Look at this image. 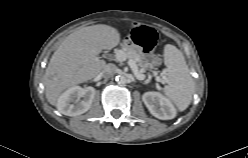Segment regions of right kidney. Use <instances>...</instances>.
<instances>
[{
    "label": "right kidney",
    "mask_w": 248,
    "mask_h": 158,
    "mask_svg": "<svg viewBox=\"0 0 248 158\" xmlns=\"http://www.w3.org/2000/svg\"><path fill=\"white\" fill-rule=\"evenodd\" d=\"M95 96V89L91 86L82 88L73 86L67 89L58 99L57 108L67 116H77L87 112Z\"/></svg>",
    "instance_id": "ca27d5eb"
}]
</instances>
